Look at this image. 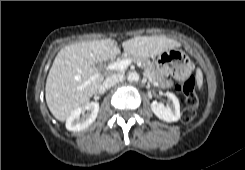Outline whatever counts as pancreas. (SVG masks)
<instances>
[{
	"label": "pancreas",
	"mask_w": 245,
	"mask_h": 170,
	"mask_svg": "<svg viewBox=\"0 0 245 170\" xmlns=\"http://www.w3.org/2000/svg\"><path fill=\"white\" fill-rule=\"evenodd\" d=\"M126 58L130 59L131 62L141 63L144 67L145 74L149 77L151 81L157 82L161 88H167L173 85V81L168 80L166 76L161 74L157 70L156 66L148 58L132 55H128L126 56Z\"/></svg>",
	"instance_id": "cf45deb5"
}]
</instances>
